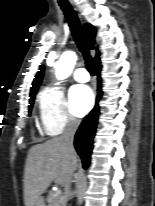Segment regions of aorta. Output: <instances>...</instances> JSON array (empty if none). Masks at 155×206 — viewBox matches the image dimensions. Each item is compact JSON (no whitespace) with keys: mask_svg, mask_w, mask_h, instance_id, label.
<instances>
[{"mask_svg":"<svg viewBox=\"0 0 155 206\" xmlns=\"http://www.w3.org/2000/svg\"><path fill=\"white\" fill-rule=\"evenodd\" d=\"M77 57L74 52L67 51L63 53L60 60L55 65V74L57 79L67 78L73 71Z\"/></svg>","mask_w":155,"mask_h":206,"instance_id":"762f6f07","label":"aorta"}]
</instances>
